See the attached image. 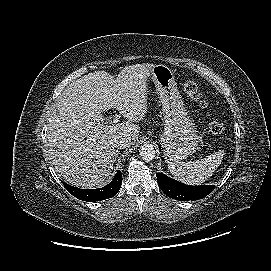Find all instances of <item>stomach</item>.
<instances>
[{
  "mask_svg": "<svg viewBox=\"0 0 271 271\" xmlns=\"http://www.w3.org/2000/svg\"><path fill=\"white\" fill-rule=\"evenodd\" d=\"M150 77L162 104L164 130L160 140L165 160L170 163L186 159L196 151L199 136L177 89L174 71L155 65Z\"/></svg>",
  "mask_w": 271,
  "mask_h": 271,
  "instance_id": "obj_1",
  "label": "stomach"
}]
</instances>
